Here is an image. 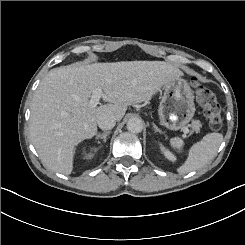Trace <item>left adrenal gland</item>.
I'll return each instance as SVG.
<instances>
[{
    "label": "left adrenal gland",
    "instance_id": "left-adrenal-gland-1",
    "mask_svg": "<svg viewBox=\"0 0 245 245\" xmlns=\"http://www.w3.org/2000/svg\"><path fill=\"white\" fill-rule=\"evenodd\" d=\"M152 125L154 127L155 132H159L160 134H163L162 130L159 129L155 123H152Z\"/></svg>",
    "mask_w": 245,
    "mask_h": 245
}]
</instances>
